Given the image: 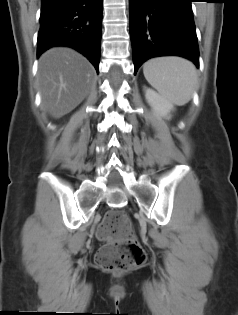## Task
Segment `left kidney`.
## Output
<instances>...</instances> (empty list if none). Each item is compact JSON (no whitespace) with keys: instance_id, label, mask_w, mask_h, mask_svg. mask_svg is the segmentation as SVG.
<instances>
[{"instance_id":"left-kidney-1","label":"left kidney","mask_w":238,"mask_h":315,"mask_svg":"<svg viewBox=\"0 0 238 315\" xmlns=\"http://www.w3.org/2000/svg\"><path fill=\"white\" fill-rule=\"evenodd\" d=\"M145 98L159 118H170V112L174 110L172 103L168 102L161 95L149 88H145Z\"/></svg>"}]
</instances>
